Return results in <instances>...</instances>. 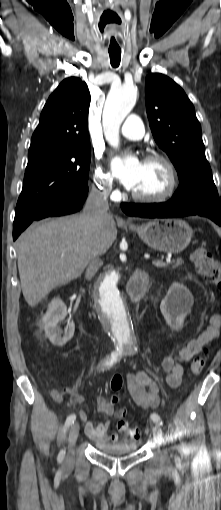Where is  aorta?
Masks as SVG:
<instances>
[{"instance_id": "1", "label": "aorta", "mask_w": 221, "mask_h": 510, "mask_svg": "<svg viewBox=\"0 0 221 510\" xmlns=\"http://www.w3.org/2000/svg\"><path fill=\"white\" fill-rule=\"evenodd\" d=\"M136 99L137 88L129 84L111 89L107 96L102 123L105 137L114 147L118 146L121 123L133 109ZM96 295L99 312L116 346L133 349L137 341L120 274L115 270L108 272L98 283Z\"/></svg>"}]
</instances>
